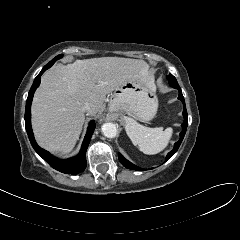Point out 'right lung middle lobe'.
<instances>
[{"label":"right lung middle lobe","instance_id":"dd1d6c3e","mask_svg":"<svg viewBox=\"0 0 240 240\" xmlns=\"http://www.w3.org/2000/svg\"><path fill=\"white\" fill-rule=\"evenodd\" d=\"M62 57H63V55L60 54V55L56 56V57L53 59V61H56V60H58V59H60V58H62Z\"/></svg>","mask_w":240,"mask_h":240}]
</instances>
